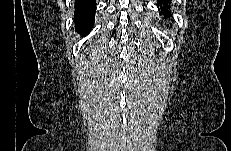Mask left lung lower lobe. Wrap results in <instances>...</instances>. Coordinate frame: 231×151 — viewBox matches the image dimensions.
Listing matches in <instances>:
<instances>
[{"label":"left lung lower lobe","mask_w":231,"mask_h":151,"mask_svg":"<svg viewBox=\"0 0 231 151\" xmlns=\"http://www.w3.org/2000/svg\"><path fill=\"white\" fill-rule=\"evenodd\" d=\"M170 4H171V0H157V6L160 7L161 9L160 15L163 14L165 19L170 17L171 14V11H169Z\"/></svg>","instance_id":"1"}]
</instances>
